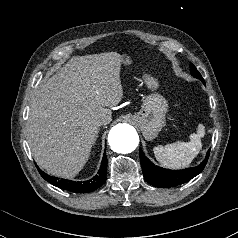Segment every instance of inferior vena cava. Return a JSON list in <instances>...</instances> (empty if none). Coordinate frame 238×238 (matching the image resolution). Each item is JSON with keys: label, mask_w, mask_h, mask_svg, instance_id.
<instances>
[{"label": "inferior vena cava", "mask_w": 238, "mask_h": 238, "mask_svg": "<svg viewBox=\"0 0 238 238\" xmlns=\"http://www.w3.org/2000/svg\"><path fill=\"white\" fill-rule=\"evenodd\" d=\"M107 122L105 120H98L97 121V126L105 125Z\"/></svg>", "instance_id": "602c4592"}]
</instances>
